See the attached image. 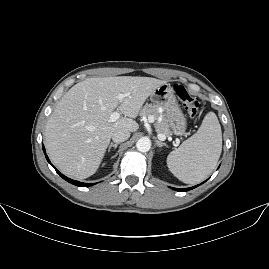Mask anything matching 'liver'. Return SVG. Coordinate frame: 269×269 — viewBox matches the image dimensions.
Segmentation results:
<instances>
[{"label":"liver","mask_w":269,"mask_h":269,"mask_svg":"<svg viewBox=\"0 0 269 269\" xmlns=\"http://www.w3.org/2000/svg\"><path fill=\"white\" fill-rule=\"evenodd\" d=\"M167 81L152 77L87 78L61 98L45 127V144L52 162L69 177L94 175L105 157L113 133L139 129L136 119L149 96ZM128 93L122 101L116 97ZM122 117L112 121L111 114Z\"/></svg>","instance_id":"obj_1"}]
</instances>
